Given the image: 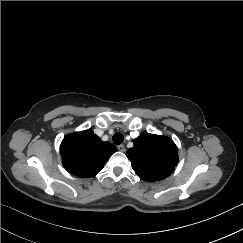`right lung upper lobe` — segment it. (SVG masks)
Masks as SVG:
<instances>
[{
    "label": "right lung upper lobe",
    "mask_w": 243,
    "mask_h": 243,
    "mask_svg": "<svg viewBox=\"0 0 243 243\" xmlns=\"http://www.w3.org/2000/svg\"><path fill=\"white\" fill-rule=\"evenodd\" d=\"M62 163L66 170L79 177H93L116 152L109 142H103L91 129L65 136L61 143Z\"/></svg>",
    "instance_id": "right-lung-upper-lobe-1"
}]
</instances>
